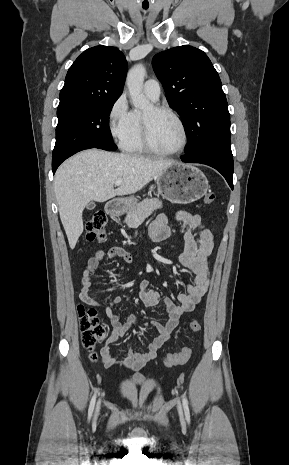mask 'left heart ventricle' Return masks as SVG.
<instances>
[{"label": "left heart ventricle", "instance_id": "b2bd125f", "mask_svg": "<svg viewBox=\"0 0 289 465\" xmlns=\"http://www.w3.org/2000/svg\"><path fill=\"white\" fill-rule=\"evenodd\" d=\"M143 114L149 124L152 143L157 149L174 151L181 146L183 140L182 131L171 115L156 112L152 107L147 108Z\"/></svg>", "mask_w": 289, "mask_h": 465}]
</instances>
